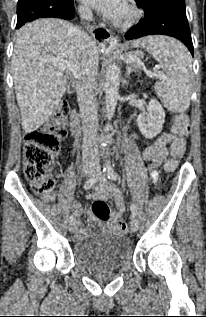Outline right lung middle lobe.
<instances>
[{
  "label": "right lung middle lobe",
  "instance_id": "1",
  "mask_svg": "<svg viewBox=\"0 0 206 317\" xmlns=\"http://www.w3.org/2000/svg\"><path fill=\"white\" fill-rule=\"evenodd\" d=\"M72 2L73 0H18L16 28L38 18H57L56 12Z\"/></svg>",
  "mask_w": 206,
  "mask_h": 317
}]
</instances>
